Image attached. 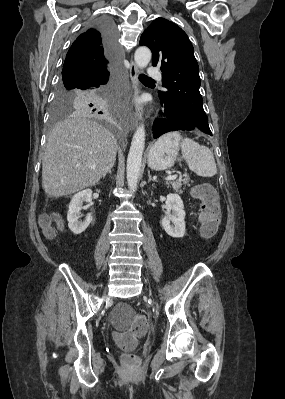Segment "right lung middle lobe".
I'll use <instances>...</instances> for the list:
<instances>
[{"label":"right lung middle lobe","instance_id":"right-lung-middle-lobe-1","mask_svg":"<svg viewBox=\"0 0 285 399\" xmlns=\"http://www.w3.org/2000/svg\"><path fill=\"white\" fill-rule=\"evenodd\" d=\"M108 88L102 90L99 94H94L72 83L60 82L56 88L52 109V124L64 115L73 114L74 112L96 115L110 114L111 101ZM90 100H101L104 102V105L97 111L93 110L92 107L88 105Z\"/></svg>","mask_w":285,"mask_h":399}]
</instances>
